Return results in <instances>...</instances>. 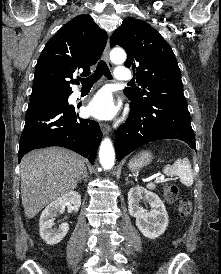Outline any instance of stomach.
<instances>
[{
	"mask_svg": "<svg viewBox=\"0 0 221 274\" xmlns=\"http://www.w3.org/2000/svg\"><path fill=\"white\" fill-rule=\"evenodd\" d=\"M152 154L148 151H142L136 155L128 164L131 171H138L152 161Z\"/></svg>",
	"mask_w": 221,
	"mask_h": 274,
	"instance_id": "0dacf381",
	"label": "stomach"
}]
</instances>
